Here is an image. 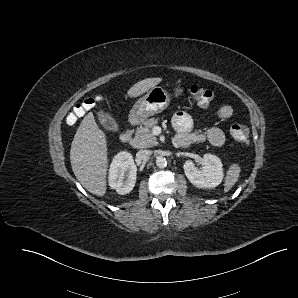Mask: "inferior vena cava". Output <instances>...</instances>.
Listing matches in <instances>:
<instances>
[{
	"instance_id": "obj_1",
	"label": "inferior vena cava",
	"mask_w": 298,
	"mask_h": 298,
	"mask_svg": "<svg viewBox=\"0 0 298 298\" xmlns=\"http://www.w3.org/2000/svg\"><path fill=\"white\" fill-rule=\"evenodd\" d=\"M152 155L151 150H139L136 153V158L139 160H147Z\"/></svg>"
}]
</instances>
